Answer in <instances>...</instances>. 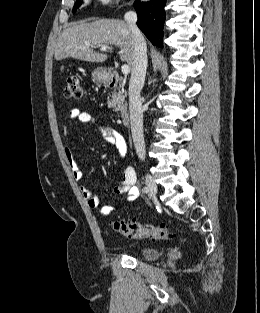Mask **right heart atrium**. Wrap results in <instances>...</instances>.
I'll use <instances>...</instances> for the list:
<instances>
[{
	"instance_id": "d8ad5b80",
	"label": "right heart atrium",
	"mask_w": 260,
	"mask_h": 313,
	"mask_svg": "<svg viewBox=\"0 0 260 313\" xmlns=\"http://www.w3.org/2000/svg\"><path fill=\"white\" fill-rule=\"evenodd\" d=\"M102 5H110L117 3L120 0H98Z\"/></svg>"
}]
</instances>
